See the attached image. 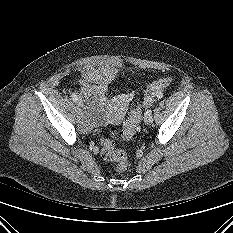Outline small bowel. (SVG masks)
<instances>
[{"label":"small bowel","instance_id":"c3829d8e","mask_svg":"<svg viewBox=\"0 0 233 233\" xmlns=\"http://www.w3.org/2000/svg\"><path fill=\"white\" fill-rule=\"evenodd\" d=\"M115 77V71L110 70L108 71L104 76L97 78L96 83V93L99 94L101 97H104L107 86L111 83V81ZM85 89L88 90L89 86H87L86 82H82ZM132 96L130 94L122 95L118 97L113 103H112V110L114 112V116L117 120H120L122 117L126 106L131 101Z\"/></svg>","mask_w":233,"mask_h":233}]
</instances>
